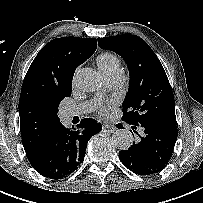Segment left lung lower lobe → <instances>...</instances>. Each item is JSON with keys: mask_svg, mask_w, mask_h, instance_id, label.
<instances>
[{"mask_svg": "<svg viewBox=\"0 0 203 203\" xmlns=\"http://www.w3.org/2000/svg\"><path fill=\"white\" fill-rule=\"evenodd\" d=\"M139 138L127 150L119 152L120 161L132 172L146 176L162 171L177 140V126H163L155 122L131 124Z\"/></svg>", "mask_w": 203, "mask_h": 203, "instance_id": "1", "label": "left lung lower lobe"}]
</instances>
